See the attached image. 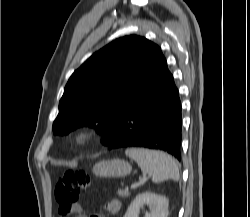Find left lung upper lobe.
<instances>
[{"instance_id": "1", "label": "left lung upper lobe", "mask_w": 250, "mask_h": 217, "mask_svg": "<svg viewBox=\"0 0 250 217\" xmlns=\"http://www.w3.org/2000/svg\"><path fill=\"white\" fill-rule=\"evenodd\" d=\"M160 52L156 44L132 35L94 53L66 84L53 133L66 135L77 127L90 126L103 135L104 143Z\"/></svg>"}]
</instances>
